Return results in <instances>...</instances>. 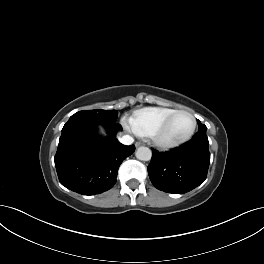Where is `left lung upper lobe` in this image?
<instances>
[{"mask_svg": "<svg viewBox=\"0 0 264 264\" xmlns=\"http://www.w3.org/2000/svg\"><path fill=\"white\" fill-rule=\"evenodd\" d=\"M197 121L199 124L198 131L206 132L207 127L204 124H202L199 120H197Z\"/></svg>", "mask_w": 264, "mask_h": 264, "instance_id": "left-lung-upper-lobe-1", "label": "left lung upper lobe"}]
</instances>
